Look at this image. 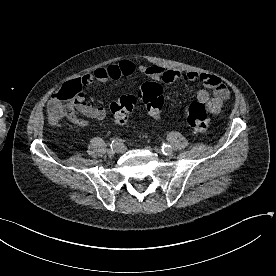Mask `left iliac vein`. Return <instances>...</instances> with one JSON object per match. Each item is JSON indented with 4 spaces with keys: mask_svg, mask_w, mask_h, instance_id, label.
Listing matches in <instances>:
<instances>
[{
    "mask_svg": "<svg viewBox=\"0 0 276 276\" xmlns=\"http://www.w3.org/2000/svg\"><path fill=\"white\" fill-rule=\"evenodd\" d=\"M156 151H157V152H161V151L158 150V149H156ZM164 154H165L166 156L171 157V156H173V150H170V151H168V152H165Z\"/></svg>",
    "mask_w": 276,
    "mask_h": 276,
    "instance_id": "4c4485c4",
    "label": "left iliac vein"
}]
</instances>
